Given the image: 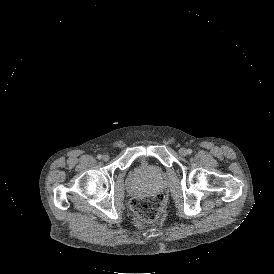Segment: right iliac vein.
I'll return each instance as SVG.
<instances>
[{
    "instance_id": "obj_1",
    "label": "right iliac vein",
    "mask_w": 274,
    "mask_h": 274,
    "mask_svg": "<svg viewBox=\"0 0 274 274\" xmlns=\"http://www.w3.org/2000/svg\"><path fill=\"white\" fill-rule=\"evenodd\" d=\"M102 160L105 161V162L108 161L109 160V155L108 154L103 155Z\"/></svg>"
}]
</instances>
